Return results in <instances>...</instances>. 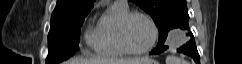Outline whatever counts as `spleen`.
<instances>
[{
	"label": "spleen",
	"mask_w": 242,
	"mask_h": 64,
	"mask_svg": "<svg viewBox=\"0 0 242 64\" xmlns=\"http://www.w3.org/2000/svg\"><path fill=\"white\" fill-rule=\"evenodd\" d=\"M166 64H187L186 61L178 58V57H174V56H167L166 58Z\"/></svg>",
	"instance_id": "1"
}]
</instances>
